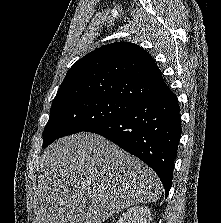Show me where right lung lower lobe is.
Wrapping results in <instances>:
<instances>
[{
	"instance_id": "1",
	"label": "right lung lower lobe",
	"mask_w": 221,
	"mask_h": 223,
	"mask_svg": "<svg viewBox=\"0 0 221 223\" xmlns=\"http://www.w3.org/2000/svg\"><path fill=\"white\" fill-rule=\"evenodd\" d=\"M177 97L170 90L133 104L125 112L89 128L149 165L168 196L181 137Z\"/></svg>"
}]
</instances>
